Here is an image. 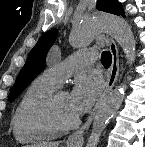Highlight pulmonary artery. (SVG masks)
Segmentation results:
<instances>
[{
  "mask_svg": "<svg viewBox=\"0 0 145 147\" xmlns=\"http://www.w3.org/2000/svg\"><path fill=\"white\" fill-rule=\"evenodd\" d=\"M96 59L97 52L94 49L77 52L61 62L50 65L44 71V74L60 85L67 76L76 72L85 65L93 64Z\"/></svg>",
  "mask_w": 145,
  "mask_h": 147,
  "instance_id": "1",
  "label": "pulmonary artery"
}]
</instances>
